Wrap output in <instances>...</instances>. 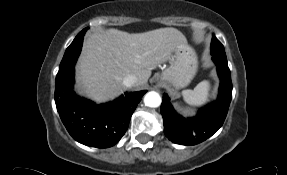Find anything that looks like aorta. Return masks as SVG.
I'll return each instance as SVG.
<instances>
[{
	"label": "aorta",
	"instance_id": "1",
	"mask_svg": "<svg viewBox=\"0 0 287 175\" xmlns=\"http://www.w3.org/2000/svg\"><path fill=\"white\" fill-rule=\"evenodd\" d=\"M161 97L157 92H148L144 97V104L148 107L156 108L161 104Z\"/></svg>",
	"mask_w": 287,
	"mask_h": 175
}]
</instances>
